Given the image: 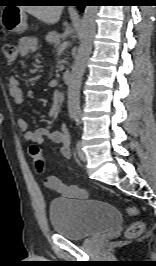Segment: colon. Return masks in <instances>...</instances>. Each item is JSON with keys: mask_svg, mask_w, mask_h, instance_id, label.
<instances>
[{"mask_svg": "<svg viewBox=\"0 0 156 266\" xmlns=\"http://www.w3.org/2000/svg\"><path fill=\"white\" fill-rule=\"evenodd\" d=\"M18 53H19V49L15 44L11 42H7L4 44L3 56L8 63L10 64L13 63L16 60ZM29 152L31 155L33 165L35 166L37 171L43 172L44 167H45V162H44V157L42 155L40 148L35 144H31L29 146ZM138 212L139 211L136 207L128 208V213L130 215H133V216L137 215ZM144 228H145V225L143 222L141 221L134 222L130 226H128V228L126 229L125 236L126 238H129V239L138 237L144 231Z\"/></svg>", "mask_w": 156, "mask_h": 266, "instance_id": "colon-1", "label": "colon"}]
</instances>
